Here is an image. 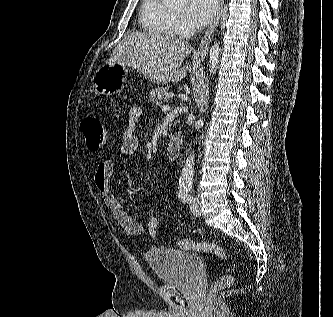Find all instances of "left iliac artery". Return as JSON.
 Wrapping results in <instances>:
<instances>
[{
    "instance_id": "obj_1",
    "label": "left iliac artery",
    "mask_w": 333,
    "mask_h": 317,
    "mask_svg": "<svg viewBox=\"0 0 333 317\" xmlns=\"http://www.w3.org/2000/svg\"><path fill=\"white\" fill-rule=\"evenodd\" d=\"M191 189V185L190 184H186V185H181L179 187V197L182 201L186 202V203H191L192 202V196L189 194V191Z\"/></svg>"
}]
</instances>
